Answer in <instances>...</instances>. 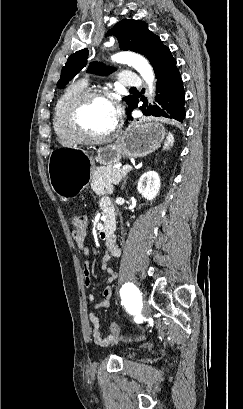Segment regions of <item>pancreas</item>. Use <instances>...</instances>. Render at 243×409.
I'll use <instances>...</instances> for the list:
<instances>
[{
    "mask_svg": "<svg viewBox=\"0 0 243 409\" xmlns=\"http://www.w3.org/2000/svg\"><path fill=\"white\" fill-rule=\"evenodd\" d=\"M129 170L123 171L122 168L112 166L97 167L92 172V184L99 186L103 184H118L124 178Z\"/></svg>",
    "mask_w": 243,
    "mask_h": 409,
    "instance_id": "cf45deb5",
    "label": "pancreas"
}]
</instances>
